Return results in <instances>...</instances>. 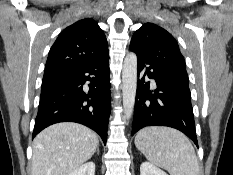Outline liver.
Returning a JSON list of instances; mask_svg holds the SVG:
<instances>
[{"label":"liver","mask_w":233,"mask_h":175,"mask_svg":"<svg viewBox=\"0 0 233 175\" xmlns=\"http://www.w3.org/2000/svg\"><path fill=\"white\" fill-rule=\"evenodd\" d=\"M98 145L97 134L86 126L51 125L34 139L32 175H69L93 156Z\"/></svg>","instance_id":"1"}]
</instances>
